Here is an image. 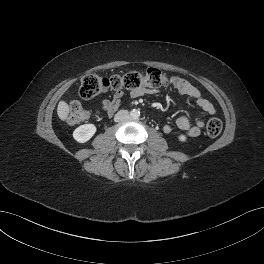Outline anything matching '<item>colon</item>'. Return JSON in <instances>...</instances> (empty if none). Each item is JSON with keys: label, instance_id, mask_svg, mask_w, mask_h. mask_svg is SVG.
Returning a JSON list of instances; mask_svg holds the SVG:
<instances>
[{"label": "colon", "instance_id": "1", "mask_svg": "<svg viewBox=\"0 0 264 264\" xmlns=\"http://www.w3.org/2000/svg\"><path fill=\"white\" fill-rule=\"evenodd\" d=\"M168 84L166 74L157 68H149L146 72H128L123 75L100 76L96 74L86 75L80 86V96L84 99H90L106 91L128 89L132 91L146 88H161ZM88 113L77 101L70 103L68 122L77 124L87 117ZM222 121L218 118H212L207 122L206 133L209 137L215 138L222 131Z\"/></svg>", "mask_w": 264, "mask_h": 264}]
</instances>
